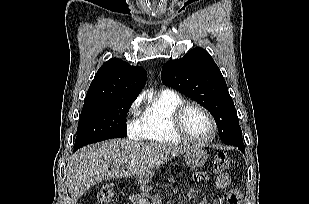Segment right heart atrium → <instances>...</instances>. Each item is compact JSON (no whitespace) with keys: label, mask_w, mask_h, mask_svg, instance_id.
<instances>
[{"label":"right heart atrium","mask_w":309,"mask_h":204,"mask_svg":"<svg viewBox=\"0 0 309 204\" xmlns=\"http://www.w3.org/2000/svg\"><path fill=\"white\" fill-rule=\"evenodd\" d=\"M139 106V100L133 102L130 108V112L134 115ZM128 133L132 137H139V128L137 125V120H132L128 123Z\"/></svg>","instance_id":"1"}]
</instances>
